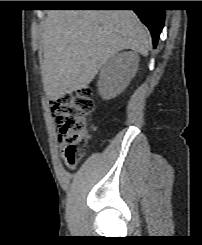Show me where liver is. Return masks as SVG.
<instances>
[{
	"label": "liver",
	"instance_id": "obj_1",
	"mask_svg": "<svg viewBox=\"0 0 202 245\" xmlns=\"http://www.w3.org/2000/svg\"><path fill=\"white\" fill-rule=\"evenodd\" d=\"M42 77L49 99L85 88L119 51L147 56L149 32L131 10H50L43 25Z\"/></svg>",
	"mask_w": 202,
	"mask_h": 245
}]
</instances>
